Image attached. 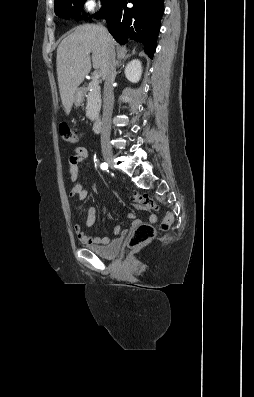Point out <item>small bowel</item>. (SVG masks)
I'll return each instance as SVG.
<instances>
[{
	"mask_svg": "<svg viewBox=\"0 0 254 397\" xmlns=\"http://www.w3.org/2000/svg\"><path fill=\"white\" fill-rule=\"evenodd\" d=\"M89 153L88 150L83 147L79 146L76 147L74 150V153L69 157L68 161V169H69V176L70 180L73 183V186L70 190V197L76 198L79 201H83L87 198L88 196V190L84 187L83 183L79 180V165L82 163L84 160L87 159ZM128 218L134 219V215L132 213L127 214ZM96 219V209L94 207H90L87 212V218H86V226L91 227L95 223ZM157 218L155 215H150L149 216V221L154 223L156 222ZM140 224L139 220H134L133 226H137ZM73 230L78 238V240L85 245L88 246H93V245H99V244H107L109 243V238L108 237H91L87 235L83 230L80 224H74L73 225ZM120 226H117L115 229V233L118 234L120 232ZM123 234L126 233V230L122 231Z\"/></svg>",
	"mask_w": 254,
	"mask_h": 397,
	"instance_id": "obj_1",
	"label": "small bowel"
}]
</instances>
